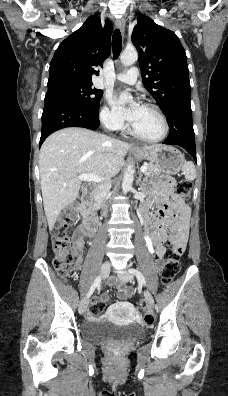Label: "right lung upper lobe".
Wrapping results in <instances>:
<instances>
[{
  "mask_svg": "<svg viewBox=\"0 0 228 396\" xmlns=\"http://www.w3.org/2000/svg\"><path fill=\"white\" fill-rule=\"evenodd\" d=\"M113 25L106 20L102 27L98 15L88 18L55 51L50 63L48 86L63 82L92 83L97 67L111 52Z\"/></svg>",
  "mask_w": 228,
  "mask_h": 396,
  "instance_id": "right-lung-upper-lobe-1",
  "label": "right lung upper lobe"
}]
</instances>
